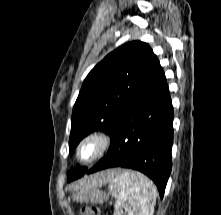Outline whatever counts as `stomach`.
<instances>
[{"label":"stomach","mask_w":221,"mask_h":215,"mask_svg":"<svg viewBox=\"0 0 221 215\" xmlns=\"http://www.w3.org/2000/svg\"><path fill=\"white\" fill-rule=\"evenodd\" d=\"M73 201L79 203L102 204L107 201L108 194L101 191L98 187L79 189L72 195Z\"/></svg>","instance_id":"obj_1"}]
</instances>
